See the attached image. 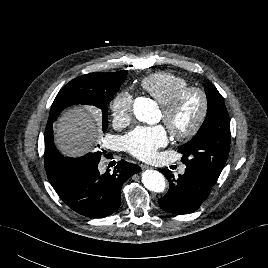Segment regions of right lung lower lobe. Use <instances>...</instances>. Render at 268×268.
<instances>
[{"instance_id": "right-lung-lower-lobe-1", "label": "right lung lower lobe", "mask_w": 268, "mask_h": 268, "mask_svg": "<svg viewBox=\"0 0 268 268\" xmlns=\"http://www.w3.org/2000/svg\"><path fill=\"white\" fill-rule=\"evenodd\" d=\"M91 156L82 165L70 186L59 195L71 209L90 217L101 218L111 215L120 206V192L124 182L141 168L121 160L115 170L101 174L98 170L101 153Z\"/></svg>"}]
</instances>
